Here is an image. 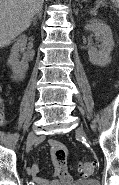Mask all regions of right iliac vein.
<instances>
[{"label": "right iliac vein", "mask_w": 119, "mask_h": 185, "mask_svg": "<svg viewBox=\"0 0 119 185\" xmlns=\"http://www.w3.org/2000/svg\"><path fill=\"white\" fill-rule=\"evenodd\" d=\"M35 140H36V134L32 131V132L29 133L28 139H27V142H26V151L27 152L30 151V149L32 148Z\"/></svg>", "instance_id": "obj_1"}]
</instances>
